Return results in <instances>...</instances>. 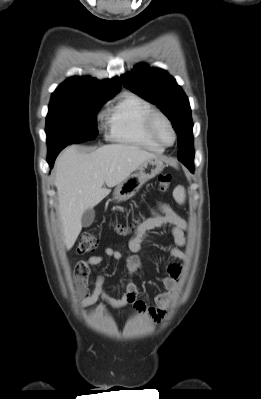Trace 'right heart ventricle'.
<instances>
[{
  "instance_id": "1",
  "label": "right heart ventricle",
  "mask_w": 261,
  "mask_h": 399,
  "mask_svg": "<svg viewBox=\"0 0 261 399\" xmlns=\"http://www.w3.org/2000/svg\"><path fill=\"white\" fill-rule=\"evenodd\" d=\"M153 106L141 96L125 93L106 114L107 137L111 141L162 152L146 130V117Z\"/></svg>"
}]
</instances>
